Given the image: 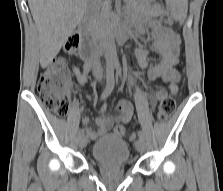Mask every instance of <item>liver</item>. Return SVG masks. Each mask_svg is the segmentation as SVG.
Returning <instances> with one entry per match:
<instances>
[{"label":"liver","mask_w":223,"mask_h":191,"mask_svg":"<svg viewBox=\"0 0 223 191\" xmlns=\"http://www.w3.org/2000/svg\"><path fill=\"white\" fill-rule=\"evenodd\" d=\"M89 0H28L39 33L40 64H51L81 21Z\"/></svg>","instance_id":"6515ba94"}]
</instances>
